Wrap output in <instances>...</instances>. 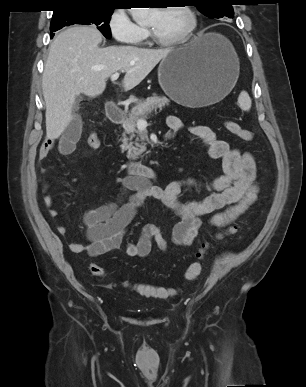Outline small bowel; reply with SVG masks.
I'll list each match as a JSON object with an SVG mask.
<instances>
[{"label": "small bowel", "mask_w": 306, "mask_h": 387, "mask_svg": "<svg viewBox=\"0 0 306 387\" xmlns=\"http://www.w3.org/2000/svg\"><path fill=\"white\" fill-rule=\"evenodd\" d=\"M166 123L170 136L183 129L182 121L174 115H169ZM188 130L204 143L210 158L222 161V173L208 181L189 177L171 181L163 187L152 185L144 178L125 179L122 200L84 212L87 242L70 244L72 252L96 257L119 249L129 224L150 198L158 200L178 217L172 229V241L179 246L192 244L198 236L204 216L212 214L211 224L225 227L256 201L259 188L256 162L252 154L232 148L208 126L194 125ZM79 137L80 123L73 120L58 141V152L64 156L72 154ZM54 147L52 140L44 141L39 149V158H45ZM188 189H201L208 195L202 200L183 201L181 195ZM44 203L50 215L56 217L58 212L53 208L48 185L44 187ZM57 230L61 235L67 233L63 225H59ZM154 245L162 252L168 250V242L160 228L146 224L138 238L126 244L124 252L128 257L144 258L151 253Z\"/></svg>", "instance_id": "1"}]
</instances>
